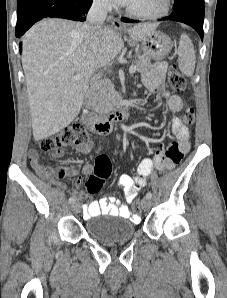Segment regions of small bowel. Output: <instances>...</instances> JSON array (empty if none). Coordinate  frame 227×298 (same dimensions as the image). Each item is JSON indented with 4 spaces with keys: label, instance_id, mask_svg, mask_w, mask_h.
Returning a JSON list of instances; mask_svg holds the SVG:
<instances>
[{
    "label": "small bowel",
    "instance_id": "1",
    "mask_svg": "<svg viewBox=\"0 0 227 298\" xmlns=\"http://www.w3.org/2000/svg\"><path fill=\"white\" fill-rule=\"evenodd\" d=\"M166 68H170V63L157 62L150 73L145 78V85L152 94L161 93L164 98V108L173 112L180 113L183 108V103L178 95L171 94L169 91L163 89L164 77ZM171 131L176 138V141L170 143L165 147L162 143L159 144L152 159H143L137 169V175L131 176L129 174H122L117 181V186L122 188L125 192L127 201L131 203L138 192L146 185V178L152 172L153 168L160 171L171 169L172 167H180L181 159L190 149V131L185 123L175 116L171 119ZM93 147L92 141L88 140L82 144L77 145V151L81 154H88ZM63 151L54 153L55 158L63 156ZM29 159L33 169L42 177L49 180L61 179L65 176L75 177L76 189H69V193L77 201L83 202L87 195L78 189L81 184V178L76 169L70 166H45L40 158V155L35 150L29 151ZM93 168L86 164L82 167L84 174H91ZM99 215L120 216L138 221V216L132 214L129 207L122 203L116 197H103L99 200H93L87 204H83V216L85 219L96 217Z\"/></svg>",
    "mask_w": 227,
    "mask_h": 298
}]
</instances>
